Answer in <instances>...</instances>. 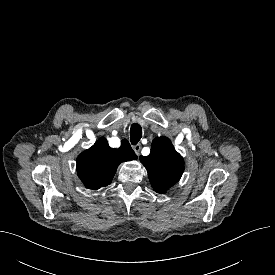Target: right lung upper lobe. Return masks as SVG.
Segmentation results:
<instances>
[{
	"instance_id": "obj_1",
	"label": "right lung upper lobe",
	"mask_w": 275,
	"mask_h": 275,
	"mask_svg": "<svg viewBox=\"0 0 275 275\" xmlns=\"http://www.w3.org/2000/svg\"><path fill=\"white\" fill-rule=\"evenodd\" d=\"M136 158L127 140L122 141L120 148L114 149L101 137L78 156V176L86 187L97 190L111 183L120 163Z\"/></svg>"
}]
</instances>
